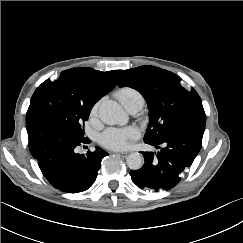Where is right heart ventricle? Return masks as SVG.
Here are the masks:
<instances>
[{
	"instance_id": "obj_1",
	"label": "right heart ventricle",
	"mask_w": 243,
	"mask_h": 243,
	"mask_svg": "<svg viewBox=\"0 0 243 243\" xmlns=\"http://www.w3.org/2000/svg\"><path fill=\"white\" fill-rule=\"evenodd\" d=\"M115 96L126 109L132 105H139L141 108L144 103L142 94L136 89L128 86L117 89Z\"/></svg>"
}]
</instances>
